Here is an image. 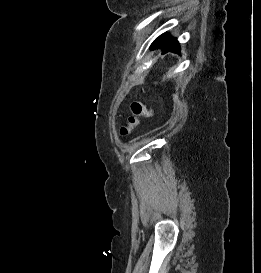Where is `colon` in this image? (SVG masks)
I'll list each match as a JSON object with an SVG mask.
<instances>
[{
  "label": "colon",
  "instance_id": "obj_1",
  "mask_svg": "<svg viewBox=\"0 0 261 273\" xmlns=\"http://www.w3.org/2000/svg\"><path fill=\"white\" fill-rule=\"evenodd\" d=\"M131 114L127 119V123L121 127L120 133L123 136L129 135L135 128H137L142 118H152L154 116V110L152 107L139 102L134 101L130 106Z\"/></svg>",
  "mask_w": 261,
  "mask_h": 273
}]
</instances>
